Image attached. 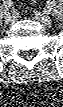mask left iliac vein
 I'll list each match as a JSON object with an SVG mask.
<instances>
[{
  "label": "left iliac vein",
  "instance_id": "1",
  "mask_svg": "<svg viewBox=\"0 0 63 107\" xmlns=\"http://www.w3.org/2000/svg\"><path fill=\"white\" fill-rule=\"evenodd\" d=\"M35 18L40 21L41 23H43L44 25H51L52 23V19L48 14H43L41 12H36L35 13Z\"/></svg>",
  "mask_w": 63,
  "mask_h": 107
}]
</instances>
